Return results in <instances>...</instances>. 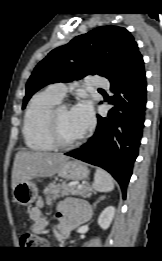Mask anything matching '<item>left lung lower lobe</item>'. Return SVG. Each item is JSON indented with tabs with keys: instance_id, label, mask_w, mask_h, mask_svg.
I'll list each match as a JSON object with an SVG mask.
<instances>
[{
	"instance_id": "0a47b994",
	"label": "left lung lower lobe",
	"mask_w": 162,
	"mask_h": 261,
	"mask_svg": "<svg viewBox=\"0 0 162 261\" xmlns=\"http://www.w3.org/2000/svg\"><path fill=\"white\" fill-rule=\"evenodd\" d=\"M114 107L98 116L95 134L81 148L65 153L107 170L120 184L123 198L139 152L147 100L143 59L110 81Z\"/></svg>"
}]
</instances>
